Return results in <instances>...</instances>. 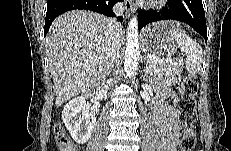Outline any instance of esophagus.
<instances>
[{
	"mask_svg": "<svg viewBox=\"0 0 231 151\" xmlns=\"http://www.w3.org/2000/svg\"><path fill=\"white\" fill-rule=\"evenodd\" d=\"M125 10H126V16L127 17H130V15L134 12L135 5L131 0L125 1Z\"/></svg>",
	"mask_w": 231,
	"mask_h": 151,
	"instance_id": "esophagus-1",
	"label": "esophagus"
}]
</instances>
